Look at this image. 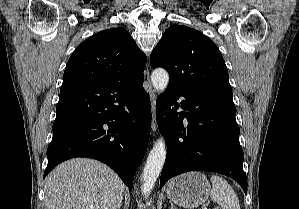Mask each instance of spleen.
Returning a JSON list of instances; mask_svg holds the SVG:
<instances>
[{"label": "spleen", "instance_id": "obj_1", "mask_svg": "<svg viewBox=\"0 0 299 209\" xmlns=\"http://www.w3.org/2000/svg\"><path fill=\"white\" fill-rule=\"evenodd\" d=\"M211 199L217 202L221 209H240L239 200L230 184L217 175H212Z\"/></svg>", "mask_w": 299, "mask_h": 209}]
</instances>
